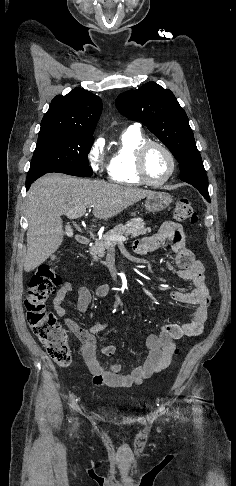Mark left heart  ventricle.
<instances>
[{
    "instance_id": "b2bd125f",
    "label": "left heart ventricle",
    "mask_w": 236,
    "mask_h": 486,
    "mask_svg": "<svg viewBox=\"0 0 236 486\" xmlns=\"http://www.w3.org/2000/svg\"><path fill=\"white\" fill-rule=\"evenodd\" d=\"M145 169L148 177L154 181L163 179L170 169L166 153L157 146H152L145 156Z\"/></svg>"
}]
</instances>
